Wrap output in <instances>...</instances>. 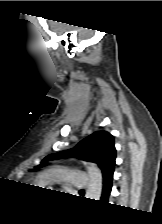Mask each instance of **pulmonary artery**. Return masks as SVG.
Listing matches in <instances>:
<instances>
[{
  "mask_svg": "<svg viewBox=\"0 0 162 224\" xmlns=\"http://www.w3.org/2000/svg\"><path fill=\"white\" fill-rule=\"evenodd\" d=\"M51 177L58 181L67 182L76 189H82L88 185V174L78 171H66L64 173H55Z\"/></svg>",
  "mask_w": 162,
  "mask_h": 224,
  "instance_id": "e3ab8cb5",
  "label": "pulmonary artery"
}]
</instances>
